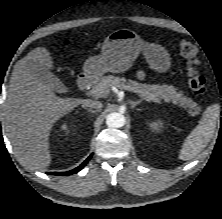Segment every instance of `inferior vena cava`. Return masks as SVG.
<instances>
[{
  "instance_id": "obj_1",
  "label": "inferior vena cava",
  "mask_w": 222,
  "mask_h": 219,
  "mask_svg": "<svg viewBox=\"0 0 222 219\" xmlns=\"http://www.w3.org/2000/svg\"><path fill=\"white\" fill-rule=\"evenodd\" d=\"M83 106L100 110L103 107V104L100 101H97V100H86L83 103Z\"/></svg>"
}]
</instances>
